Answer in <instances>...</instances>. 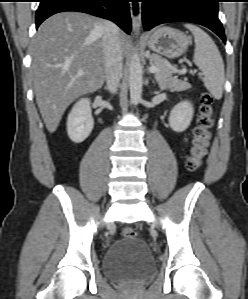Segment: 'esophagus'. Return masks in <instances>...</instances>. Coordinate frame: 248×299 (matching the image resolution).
Returning a JSON list of instances; mask_svg holds the SVG:
<instances>
[{
  "label": "esophagus",
  "instance_id": "1",
  "mask_svg": "<svg viewBox=\"0 0 248 299\" xmlns=\"http://www.w3.org/2000/svg\"><path fill=\"white\" fill-rule=\"evenodd\" d=\"M130 14L133 30L139 33L141 27V4L137 1L130 2Z\"/></svg>",
  "mask_w": 248,
  "mask_h": 299
}]
</instances>
